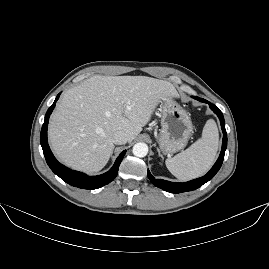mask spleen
Returning <instances> with one entry per match:
<instances>
[{
    "mask_svg": "<svg viewBox=\"0 0 269 269\" xmlns=\"http://www.w3.org/2000/svg\"><path fill=\"white\" fill-rule=\"evenodd\" d=\"M219 147V132L213 119L207 120L202 137L185 151L166 159V167L180 181L203 176L213 165Z\"/></svg>",
    "mask_w": 269,
    "mask_h": 269,
    "instance_id": "spleen-1",
    "label": "spleen"
}]
</instances>
